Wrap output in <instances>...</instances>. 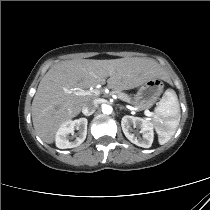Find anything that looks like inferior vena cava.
Here are the masks:
<instances>
[{
    "instance_id": "602c4592",
    "label": "inferior vena cava",
    "mask_w": 210,
    "mask_h": 210,
    "mask_svg": "<svg viewBox=\"0 0 210 210\" xmlns=\"http://www.w3.org/2000/svg\"><path fill=\"white\" fill-rule=\"evenodd\" d=\"M98 107V104L95 100H92L88 103H86L83 108H82V113L85 115V116H90L92 115L95 110L97 109Z\"/></svg>"
}]
</instances>
